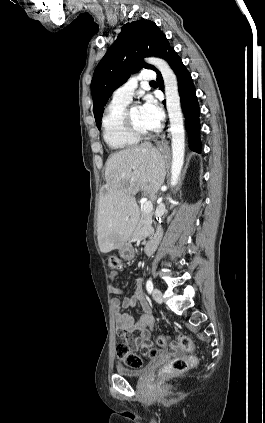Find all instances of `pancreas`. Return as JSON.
Segmentation results:
<instances>
[{"mask_svg": "<svg viewBox=\"0 0 265 423\" xmlns=\"http://www.w3.org/2000/svg\"><path fill=\"white\" fill-rule=\"evenodd\" d=\"M152 229V213L142 211L139 222L134 230L133 237L135 239H143L150 234Z\"/></svg>", "mask_w": 265, "mask_h": 423, "instance_id": "pancreas-1", "label": "pancreas"}]
</instances>
